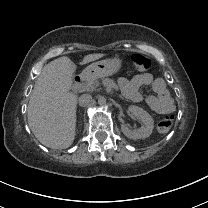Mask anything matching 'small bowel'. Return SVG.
<instances>
[{"label": "small bowel", "instance_id": "obj_1", "mask_svg": "<svg viewBox=\"0 0 208 208\" xmlns=\"http://www.w3.org/2000/svg\"><path fill=\"white\" fill-rule=\"evenodd\" d=\"M118 84L122 94L134 103H139L143 100V96L139 92L141 87H151L155 95L146 97L145 102L155 113L167 115L175 109L165 81L161 77L155 78L150 73H141L131 79L121 77L118 80Z\"/></svg>", "mask_w": 208, "mask_h": 208}]
</instances>
